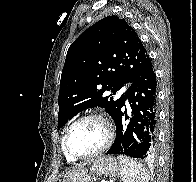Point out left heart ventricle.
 Returning <instances> with one entry per match:
<instances>
[{
  "label": "left heart ventricle",
  "instance_id": "1",
  "mask_svg": "<svg viewBox=\"0 0 196 182\" xmlns=\"http://www.w3.org/2000/svg\"><path fill=\"white\" fill-rule=\"evenodd\" d=\"M104 141V129L95 120L77 124L70 132L68 146L77 155H87L97 150Z\"/></svg>",
  "mask_w": 196,
  "mask_h": 182
}]
</instances>
